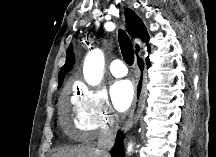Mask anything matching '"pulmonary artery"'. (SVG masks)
<instances>
[{"label":"pulmonary artery","mask_w":216,"mask_h":157,"mask_svg":"<svg viewBox=\"0 0 216 157\" xmlns=\"http://www.w3.org/2000/svg\"><path fill=\"white\" fill-rule=\"evenodd\" d=\"M109 69H110V72L112 73V75L115 77H118V78L124 77L127 74V67L119 59L113 60L110 64Z\"/></svg>","instance_id":"obj_1"}]
</instances>
